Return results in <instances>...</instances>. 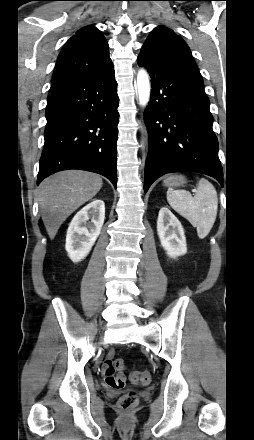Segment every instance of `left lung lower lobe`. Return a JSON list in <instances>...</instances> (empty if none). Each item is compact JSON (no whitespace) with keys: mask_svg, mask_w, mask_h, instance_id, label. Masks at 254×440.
Listing matches in <instances>:
<instances>
[{"mask_svg":"<svg viewBox=\"0 0 254 440\" xmlns=\"http://www.w3.org/2000/svg\"><path fill=\"white\" fill-rule=\"evenodd\" d=\"M151 77L144 119L149 134L144 191L166 173L194 171L223 184L218 141L204 85L183 68L151 57L137 58Z\"/></svg>","mask_w":254,"mask_h":440,"instance_id":"1","label":"left lung lower lobe"}]
</instances>
